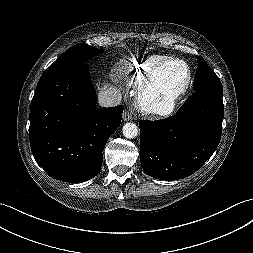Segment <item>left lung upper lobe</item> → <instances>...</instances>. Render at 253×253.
<instances>
[{
	"label": "left lung upper lobe",
	"instance_id": "5c2ea615",
	"mask_svg": "<svg viewBox=\"0 0 253 253\" xmlns=\"http://www.w3.org/2000/svg\"><path fill=\"white\" fill-rule=\"evenodd\" d=\"M195 57L198 60V68L194 79V90L196 91L204 88H210L223 91V87L219 78L207 65L205 60L199 56Z\"/></svg>",
	"mask_w": 253,
	"mask_h": 253
}]
</instances>
